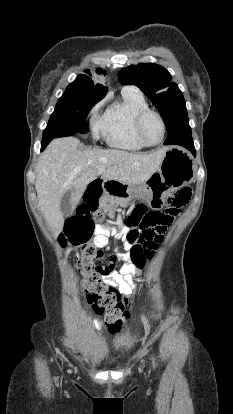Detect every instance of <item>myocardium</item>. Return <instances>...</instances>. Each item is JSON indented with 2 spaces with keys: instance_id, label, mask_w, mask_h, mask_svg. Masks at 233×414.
Wrapping results in <instances>:
<instances>
[{
  "instance_id": "obj_1",
  "label": "myocardium",
  "mask_w": 233,
  "mask_h": 414,
  "mask_svg": "<svg viewBox=\"0 0 233 414\" xmlns=\"http://www.w3.org/2000/svg\"><path fill=\"white\" fill-rule=\"evenodd\" d=\"M150 115L156 116L158 118V120L160 121V124H161V127H162V136H161V139L159 141H157V142H151L147 138V136L145 135V132H144V123H145V120ZM135 125H136V130H137V133H138L139 137L141 138L142 141H144L149 146L158 145L165 138V135H166V123H165V120H164L163 116L161 115V113L158 112V111H156V110H154V109H150L149 108V109H146V110L142 111L137 116L136 124Z\"/></svg>"
}]
</instances>
